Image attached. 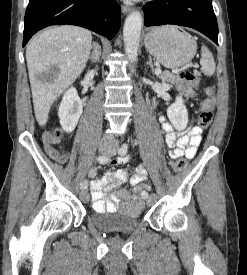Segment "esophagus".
Returning <instances> with one entry per match:
<instances>
[{
    "mask_svg": "<svg viewBox=\"0 0 247 275\" xmlns=\"http://www.w3.org/2000/svg\"><path fill=\"white\" fill-rule=\"evenodd\" d=\"M132 10V7L129 6H122V12L124 14L129 13Z\"/></svg>",
    "mask_w": 247,
    "mask_h": 275,
    "instance_id": "34e87169",
    "label": "esophagus"
}]
</instances>
